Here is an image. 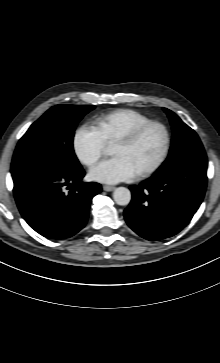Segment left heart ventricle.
Wrapping results in <instances>:
<instances>
[{
    "label": "left heart ventricle",
    "instance_id": "1",
    "mask_svg": "<svg viewBox=\"0 0 220 363\" xmlns=\"http://www.w3.org/2000/svg\"><path fill=\"white\" fill-rule=\"evenodd\" d=\"M163 144V132L157 127H152L131 145L114 144L112 154L127 159L135 171L139 173L158 159Z\"/></svg>",
    "mask_w": 220,
    "mask_h": 363
}]
</instances>
